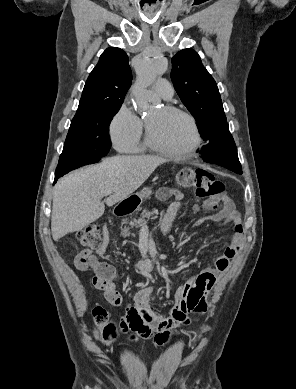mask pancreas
Returning <instances> with one entry per match:
<instances>
[{
	"instance_id": "1",
	"label": "pancreas",
	"mask_w": 296,
	"mask_h": 389,
	"mask_svg": "<svg viewBox=\"0 0 296 389\" xmlns=\"http://www.w3.org/2000/svg\"><path fill=\"white\" fill-rule=\"evenodd\" d=\"M153 214H158V210L154 209L152 212L144 210L141 214L142 217L137 219V220L134 219L133 221H131L130 226L136 227V228L140 227L141 224L144 222L145 218H150V216ZM128 230H129V228L122 230V234L123 235L127 234Z\"/></svg>"
}]
</instances>
